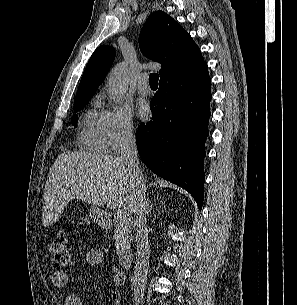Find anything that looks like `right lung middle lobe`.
I'll return each mask as SVG.
<instances>
[{"label":"right lung middle lobe","mask_w":297,"mask_h":305,"mask_svg":"<svg viewBox=\"0 0 297 305\" xmlns=\"http://www.w3.org/2000/svg\"><path fill=\"white\" fill-rule=\"evenodd\" d=\"M91 97L92 96L75 101V103H74V111H78L81 108L85 107V105L88 103V101L90 100ZM77 122H78V116L75 115L72 118V124L76 127Z\"/></svg>","instance_id":"right-lung-middle-lobe-1"}]
</instances>
